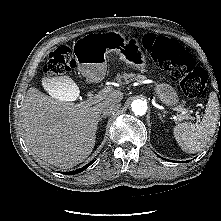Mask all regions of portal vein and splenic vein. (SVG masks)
<instances>
[{
    "mask_svg": "<svg viewBox=\"0 0 221 221\" xmlns=\"http://www.w3.org/2000/svg\"><path fill=\"white\" fill-rule=\"evenodd\" d=\"M109 92H110V88H105L100 93H98L97 95H94V94L90 93V94H88L89 98L86 101V103H88V104L97 103V102L101 101L103 99V97L105 95H107ZM55 94H57V92H55ZM175 110L180 111L182 115L187 113V110L185 108H175ZM196 119L200 120V116H199L198 113L196 114Z\"/></svg>",
    "mask_w": 221,
    "mask_h": 221,
    "instance_id": "portal-vein-and-splenic-vein-1",
    "label": "portal vein and splenic vein"
}]
</instances>
